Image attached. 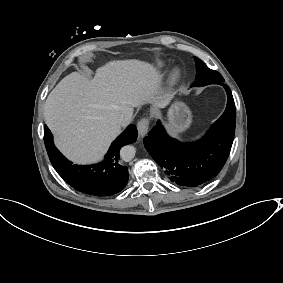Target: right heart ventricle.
<instances>
[{
  "label": "right heart ventricle",
  "instance_id": "right-heart-ventricle-1",
  "mask_svg": "<svg viewBox=\"0 0 283 283\" xmlns=\"http://www.w3.org/2000/svg\"><path fill=\"white\" fill-rule=\"evenodd\" d=\"M167 66L168 64L166 61H163V60L155 61L145 73V78H149L155 74L165 71Z\"/></svg>",
  "mask_w": 283,
  "mask_h": 283
}]
</instances>
